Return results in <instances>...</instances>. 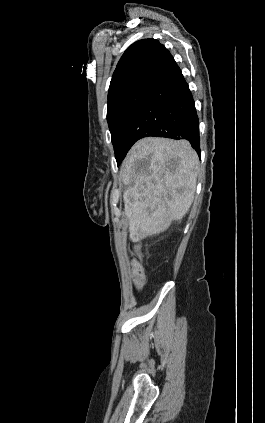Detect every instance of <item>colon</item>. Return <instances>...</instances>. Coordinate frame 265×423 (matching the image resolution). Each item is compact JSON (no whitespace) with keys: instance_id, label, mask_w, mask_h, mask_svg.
I'll use <instances>...</instances> for the list:
<instances>
[{"instance_id":"obj_1","label":"colon","mask_w":265,"mask_h":423,"mask_svg":"<svg viewBox=\"0 0 265 423\" xmlns=\"http://www.w3.org/2000/svg\"><path fill=\"white\" fill-rule=\"evenodd\" d=\"M145 274L143 272V270L138 267L136 270V274H135V284L137 288H141L143 287L144 283H145Z\"/></svg>"}]
</instances>
